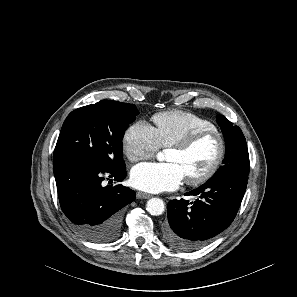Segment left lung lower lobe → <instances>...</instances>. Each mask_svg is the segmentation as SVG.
<instances>
[{
    "mask_svg": "<svg viewBox=\"0 0 297 297\" xmlns=\"http://www.w3.org/2000/svg\"><path fill=\"white\" fill-rule=\"evenodd\" d=\"M248 178L219 177L208 180L185 195L168 203L165 242L178 250L194 251L209 243L234 220L245 194Z\"/></svg>",
    "mask_w": 297,
    "mask_h": 297,
    "instance_id": "1",
    "label": "left lung lower lobe"
}]
</instances>
